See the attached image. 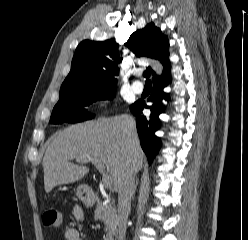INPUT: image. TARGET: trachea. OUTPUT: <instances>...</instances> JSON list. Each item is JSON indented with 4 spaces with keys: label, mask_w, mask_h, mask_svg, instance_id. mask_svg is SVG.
Here are the masks:
<instances>
[{
    "label": "trachea",
    "mask_w": 248,
    "mask_h": 240,
    "mask_svg": "<svg viewBox=\"0 0 248 240\" xmlns=\"http://www.w3.org/2000/svg\"><path fill=\"white\" fill-rule=\"evenodd\" d=\"M143 76L146 78V84H147V85H150V84H151V81L149 80V78H150V71H149V70H146V71L143 73Z\"/></svg>",
    "instance_id": "3493384b"
}]
</instances>
